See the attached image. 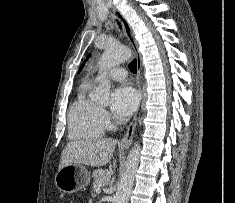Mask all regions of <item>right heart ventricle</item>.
Wrapping results in <instances>:
<instances>
[{"label":"right heart ventricle","mask_w":235,"mask_h":203,"mask_svg":"<svg viewBox=\"0 0 235 203\" xmlns=\"http://www.w3.org/2000/svg\"><path fill=\"white\" fill-rule=\"evenodd\" d=\"M87 90L88 85L80 88L68 113V130L72 139L99 138L106 130L101 110L88 98Z\"/></svg>","instance_id":"right-heart-ventricle-1"}]
</instances>
